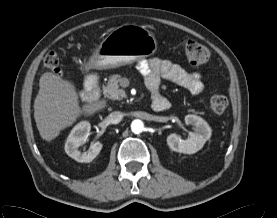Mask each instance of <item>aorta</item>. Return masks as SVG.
<instances>
[{
    "mask_svg": "<svg viewBox=\"0 0 277 218\" xmlns=\"http://www.w3.org/2000/svg\"><path fill=\"white\" fill-rule=\"evenodd\" d=\"M131 130L135 134H139L144 130V124L141 120L136 119L131 123Z\"/></svg>",
    "mask_w": 277,
    "mask_h": 218,
    "instance_id": "obj_1",
    "label": "aorta"
}]
</instances>
